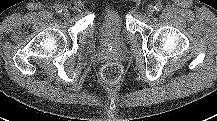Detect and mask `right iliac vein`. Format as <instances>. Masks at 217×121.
Wrapping results in <instances>:
<instances>
[{
    "label": "right iliac vein",
    "instance_id": "right-iliac-vein-1",
    "mask_svg": "<svg viewBox=\"0 0 217 121\" xmlns=\"http://www.w3.org/2000/svg\"><path fill=\"white\" fill-rule=\"evenodd\" d=\"M65 17H69L70 16V11L68 9H64L63 13H62Z\"/></svg>",
    "mask_w": 217,
    "mask_h": 121
}]
</instances>
